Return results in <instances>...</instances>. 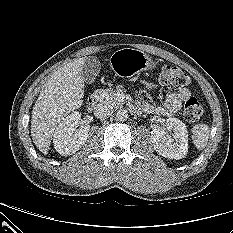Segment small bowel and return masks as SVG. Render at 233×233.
<instances>
[{"instance_id":"obj_1","label":"small bowel","mask_w":233,"mask_h":233,"mask_svg":"<svg viewBox=\"0 0 233 233\" xmlns=\"http://www.w3.org/2000/svg\"><path fill=\"white\" fill-rule=\"evenodd\" d=\"M144 84L149 89L155 88V85L152 83L145 82ZM190 95L188 88H181L176 92L169 93L162 104L143 102L138 105V109L151 114L173 116L180 109L182 102L186 101Z\"/></svg>"}]
</instances>
